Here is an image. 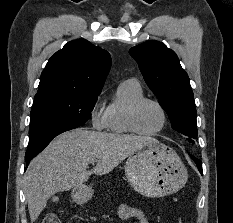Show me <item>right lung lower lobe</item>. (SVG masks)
<instances>
[{"label": "right lung lower lobe", "mask_w": 233, "mask_h": 223, "mask_svg": "<svg viewBox=\"0 0 233 223\" xmlns=\"http://www.w3.org/2000/svg\"><path fill=\"white\" fill-rule=\"evenodd\" d=\"M37 154H38V153L31 154V155L27 156V157H26V164L28 165L29 162H30V160H31L34 156H36Z\"/></svg>", "instance_id": "obj_1"}]
</instances>
